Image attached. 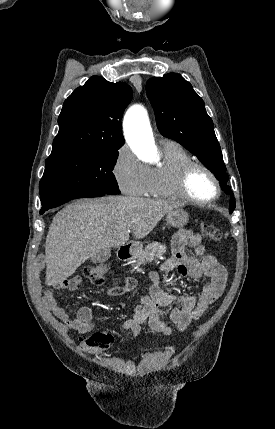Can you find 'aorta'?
Returning a JSON list of instances; mask_svg holds the SVG:
<instances>
[{
	"label": "aorta",
	"mask_w": 275,
	"mask_h": 429,
	"mask_svg": "<svg viewBox=\"0 0 275 429\" xmlns=\"http://www.w3.org/2000/svg\"><path fill=\"white\" fill-rule=\"evenodd\" d=\"M124 132L128 145L142 160L157 159V148L146 110L142 106L130 108L124 118Z\"/></svg>",
	"instance_id": "1"
}]
</instances>
